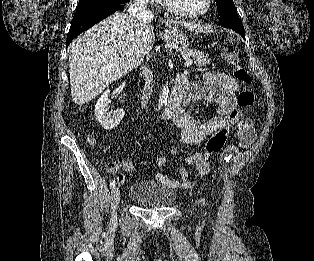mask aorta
<instances>
[{
    "label": "aorta",
    "mask_w": 314,
    "mask_h": 261,
    "mask_svg": "<svg viewBox=\"0 0 314 261\" xmlns=\"http://www.w3.org/2000/svg\"><path fill=\"white\" fill-rule=\"evenodd\" d=\"M168 94H169V88H168V85L165 84L163 86L162 93L159 98L158 110L167 103Z\"/></svg>",
    "instance_id": "obj_1"
}]
</instances>
